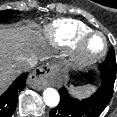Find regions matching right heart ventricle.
I'll list each match as a JSON object with an SVG mask.
<instances>
[{"mask_svg":"<svg viewBox=\"0 0 117 117\" xmlns=\"http://www.w3.org/2000/svg\"><path fill=\"white\" fill-rule=\"evenodd\" d=\"M92 29L85 23L75 19H58L46 29L48 40L58 47H68L75 39Z\"/></svg>","mask_w":117,"mask_h":117,"instance_id":"obj_1","label":"right heart ventricle"}]
</instances>
